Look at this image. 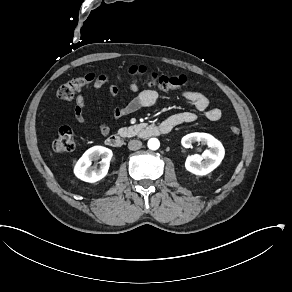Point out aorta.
<instances>
[{
    "label": "aorta",
    "instance_id": "obj_1",
    "mask_svg": "<svg viewBox=\"0 0 292 292\" xmlns=\"http://www.w3.org/2000/svg\"><path fill=\"white\" fill-rule=\"evenodd\" d=\"M160 146V142L158 139L156 138H151L149 141H148V148L150 150H157Z\"/></svg>",
    "mask_w": 292,
    "mask_h": 292
}]
</instances>
